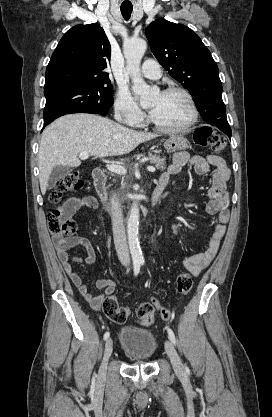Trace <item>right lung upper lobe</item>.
Returning a JSON list of instances; mask_svg holds the SVG:
<instances>
[{"label": "right lung upper lobe", "instance_id": "right-lung-upper-lobe-1", "mask_svg": "<svg viewBox=\"0 0 272 417\" xmlns=\"http://www.w3.org/2000/svg\"><path fill=\"white\" fill-rule=\"evenodd\" d=\"M111 47L99 24L76 25L62 37L46 69L44 91L110 83Z\"/></svg>", "mask_w": 272, "mask_h": 417}]
</instances>
